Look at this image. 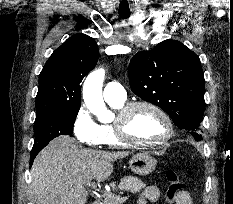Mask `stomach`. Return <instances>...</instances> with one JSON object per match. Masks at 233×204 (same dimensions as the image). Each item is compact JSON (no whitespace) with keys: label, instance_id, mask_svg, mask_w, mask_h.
<instances>
[{"label":"stomach","instance_id":"0dacf381","mask_svg":"<svg viewBox=\"0 0 233 204\" xmlns=\"http://www.w3.org/2000/svg\"><path fill=\"white\" fill-rule=\"evenodd\" d=\"M157 161L147 152L138 153L129 160L130 169L138 175H148L155 170Z\"/></svg>","mask_w":233,"mask_h":204}]
</instances>
